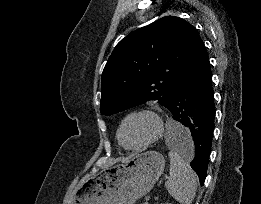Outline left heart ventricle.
Segmentation results:
<instances>
[{
    "label": "left heart ventricle",
    "instance_id": "b2bd125f",
    "mask_svg": "<svg viewBox=\"0 0 261 204\" xmlns=\"http://www.w3.org/2000/svg\"><path fill=\"white\" fill-rule=\"evenodd\" d=\"M154 131L153 122L147 117L130 119L123 127L121 138L128 146L138 145L148 139Z\"/></svg>",
    "mask_w": 261,
    "mask_h": 204
}]
</instances>
